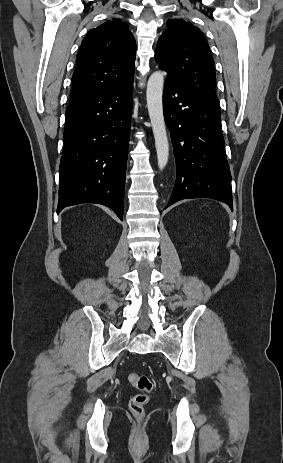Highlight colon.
I'll list each match as a JSON object with an SVG mask.
<instances>
[{
    "mask_svg": "<svg viewBox=\"0 0 283 463\" xmlns=\"http://www.w3.org/2000/svg\"><path fill=\"white\" fill-rule=\"evenodd\" d=\"M128 381L139 391L130 399L129 409L136 419L141 420L145 414V406L151 400L154 383L149 376L136 373L129 374Z\"/></svg>",
    "mask_w": 283,
    "mask_h": 463,
    "instance_id": "obj_1",
    "label": "colon"
}]
</instances>
